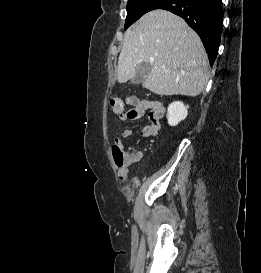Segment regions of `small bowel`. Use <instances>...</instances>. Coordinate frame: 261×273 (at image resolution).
<instances>
[{
	"instance_id": "obj_1",
	"label": "small bowel",
	"mask_w": 261,
	"mask_h": 273,
	"mask_svg": "<svg viewBox=\"0 0 261 273\" xmlns=\"http://www.w3.org/2000/svg\"><path fill=\"white\" fill-rule=\"evenodd\" d=\"M140 103L143 107V110L144 109L152 110L149 115L150 123L143 127L141 134L144 137H154L160 131L161 128L160 119L163 114L164 108L162 104L157 101L143 100L140 101ZM119 115L122 120H130L125 112H122ZM132 134H133L132 129L127 128L122 132L121 137L128 138L132 136ZM116 143L121 144L120 140H118ZM125 155L127 158V163L124 167H121L119 169V178L121 180H126L128 175V167L132 164L139 162L143 157V153L140 150H130Z\"/></svg>"
}]
</instances>
